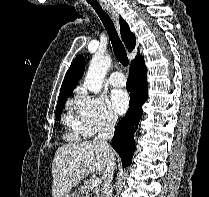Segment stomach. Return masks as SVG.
Wrapping results in <instances>:
<instances>
[{"label":"stomach","mask_w":209,"mask_h":197,"mask_svg":"<svg viewBox=\"0 0 209 197\" xmlns=\"http://www.w3.org/2000/svg\"><path fill=\"white\" fill-rule=\"evenodd\" d=\"M63 197H78V195L76 192L70 191V192L64 194Z\"/></svg>","instance_id":"1"}]
</instances>
